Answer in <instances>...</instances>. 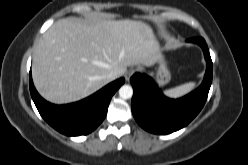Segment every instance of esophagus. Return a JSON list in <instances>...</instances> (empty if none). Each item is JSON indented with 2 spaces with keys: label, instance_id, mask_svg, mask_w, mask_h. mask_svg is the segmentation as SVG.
Instances as JSON below:
<instances>
[{
  "label": "esophagus",
  "instance_id": "obj_1",
  "mask_svg": "<svg viewBox=\"0 0 248 165\" xmlns=\"http://www.w3.org/2000/svg\"><path fill=\"white\" fill-rule=\"evenodd\" d=\"M136 71H137V69H135V68L129 69V70L126 72V74H125L126 80L129 81V80H130V77H131Z\"/></svg>",
  "mask_w": 248,
  "mask_h": 165
}]
</instances>
